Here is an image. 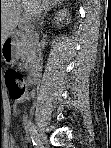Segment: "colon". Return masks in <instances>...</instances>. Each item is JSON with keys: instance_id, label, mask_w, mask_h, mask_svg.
I'll return each instance as SVG.
<instances>
[{"instance_id": "colon-1", "label": "colon", "mask_w": 111, "mask_h": 148, "mask_svg": "<svg viewBox=\"0 0 111 148\" xmlns=\"http://www.w3.org/2000/svg\"><path fill=\"white\" fill-rule=\"evenodd\" d=\"M5 81L12 99H21L26 94L25 87L21 84L22 77L15 70H9L5 74Z\"/></svg>"}]
</instances>
